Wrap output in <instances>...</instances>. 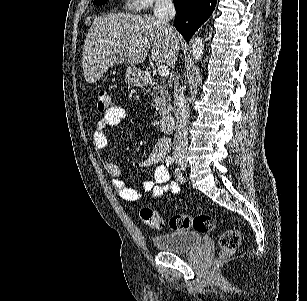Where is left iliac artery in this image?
<instances>
[{
	"mask_svg": "<svg viewBox=\"0 0 307 301\" xmlns=\"http://www.w3.org/2000/svg\"><path fill=\"white\" fill-rule=\"evenodd\" d=\"M175 174L177 175V177H178L179 179L181 178L179 169H176V170H175Z\"/></svg>",
	"mask_w": 307,
	"mask_h": 301,
	"instance_id": "44dca946",
	"label": "left iliac artery"
}]
</instances>
